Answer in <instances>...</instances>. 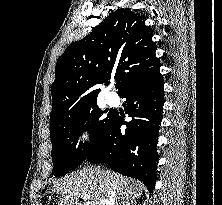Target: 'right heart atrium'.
I'll return each instance as SVG.
<instances>
[{"mask_svg":"<svg viewBox=\"0 0 222 205\" xmlns=\"http://www.w3.org/2000/svg\"><path fill=\"white\" fill-rule=\"evenodd\" d=\"M80 138L86 140L88 138V130H83L80 134Z\"/></svg>","mask_w":222,"mask_h":205,"instance_id":"right-heart-atrium-1","label":"right heart atrium"}]
</instances>
